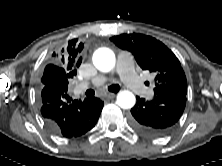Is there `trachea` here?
Returning <instances> with one entry per match:
<instances>
[{"mask_svg":"<svg viewBox=\"0 0 222 166\" xmlns=\"http://www.w3.org/2000/svg\"><path fill=\"white\" fill-rule=\"evenodd\" d=\"M108 90L110 92L117 93L120 90V86L119 85H111V86L108 87ZM94 94H95V92L92 89H89V90L86 91V95L89 96V97L93 96Z\"/></svg>","mask_w":222,"mask_h":166,"instance_id":"1","label":"trachea"}]
</instances>
